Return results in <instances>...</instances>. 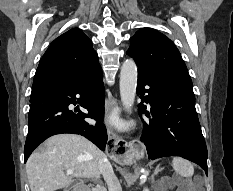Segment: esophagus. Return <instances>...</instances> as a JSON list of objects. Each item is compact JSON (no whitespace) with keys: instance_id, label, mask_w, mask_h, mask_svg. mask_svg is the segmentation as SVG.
<instances>
[{"instance_id":"1","label":"esophagus","mask_w":233,"mask_h":191,"mask_svg":"<svg viewBox=\"0 0 233 191\" xmlns=\"http://www.w3.org/2000/svg\"><path fill=\"white\" fill-rule=\"evenodd\" d=\"M117 105V98L109 96L105 102L106 114ZM108 142H106L105 151L108 156H114V162L117 164H128L132 157L140 158L144 153V147L139 140H134L128 144L114 129L108 126Z\"/></svg>"}]
</instances>
